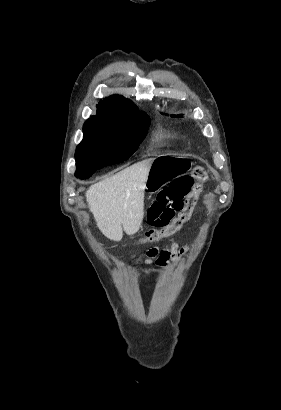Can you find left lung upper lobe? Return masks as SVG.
<instances>
[{
	"label": "left lung upper lobe",
	"mask_w": 281,
	"mask_h": 410,
	"mask_svg": "<svg viewBox=\"0 0 281 410\" xmlns=\"http://www.w3.org/2000/svg\"><path fill=\"white\" fill-rule=\"evenodd\" d=\"M167 115V114H166ZM171 117H173V118H179V117H182V115L181 114H178V115H171Z\"/></svg>",
	"instance_id": "1"
}]
</instances>
